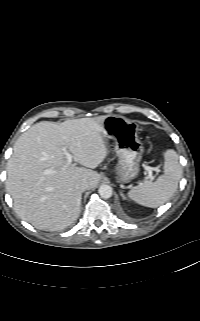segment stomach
<instances>
[{
  "label": "stomach",
  "instance_id": "obj_1",
  "mask_svg": "<svg viewBox=\"0 0 200 321\" xmlns=\"http://www.w3.org/2000/svg\"><path fill=\"white\" fill-rule=\"evenodd\" d=\"M103 129L104 136L113 139L115 143L119 160L114 172L118 180L123 184L131 182L139 173V163L144 150L137 135V124L123 116L108 115L105 117Z\"/></svg>",
  "mask_w": 200,
  "mask_h": 321
}]
</instances>
